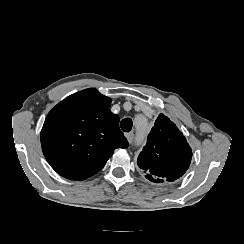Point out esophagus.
Listing matches in <instances>:
<instances>
[{
    "label": "esophagus",
    "mask_w": 244,
    "mask_h": 244,
    "mask_svg": "<svg viewBox=\"0 0 244 244\" xmlns=\"http://www.w3.org/2000/svg\"><path fill=\"white\" fill-rule=\"evenodd\" d=\"M126 137H127V139H128V141H129L130 144H132V143L134 142L135 135H134L133 132L128 133V134L126 135Z\"/></svg>",
    "instance_id": "esophagus-1"
}]
</instances>
